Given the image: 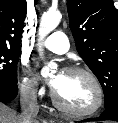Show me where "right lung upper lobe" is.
<instances>
[{"label": "right lung upper lobe", "mask_w": 118, "mask_h": 123, "mask_svg": "<svg viewBox=\"0 0 118 123\" xmlns=\"http://www.w3.org/2000/svg\"><path fill=\"white\" fill-rule=\"evenodd\" d=\"M26 0H0V48L20 49Z\"/></svg>", "instance_id": "cb5924a9"}]
</instances>
